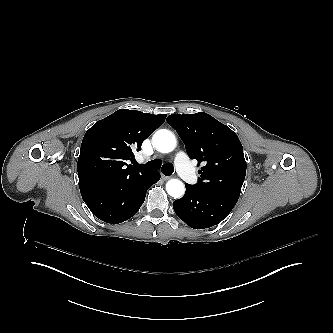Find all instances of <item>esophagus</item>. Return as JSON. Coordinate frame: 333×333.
Segmentation results:
<instances>
[{"mask_svg": "<svg viewBox=\"0 0 333 333\" xmlns=\"http://www.w3.org/2000/svg\"><path fill=\"white\" fill-rule=\"evenodd\" d=\"M161 177L164 181H167L171 178L170 176H165V175H161Z\"/></svg>", "mask_w": 333, "mask_h": 333, "instance_id": "34e87169", "label": "esophagus"}]
</instances>
